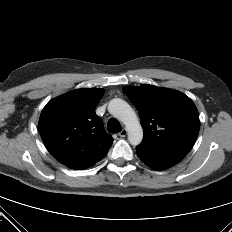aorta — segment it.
<instances>
[{
  "label": "aorta",
  "mask_w": 232,
  "mask_h": 232,
  "mask_svg": "<svg viewBox=\"0 0 232 232\" xmlns=\"http://www.w3.org/2000/svg\"><path fill=\"white\" fill-rule=\"evenodd\" d=\"M108 111L125 125L130 144L139 145L143 139V129L133 108L126 101L114 98L108 104Z\"/></svg>",
  "instance_id": "aorta-1"
}]
</instances>
